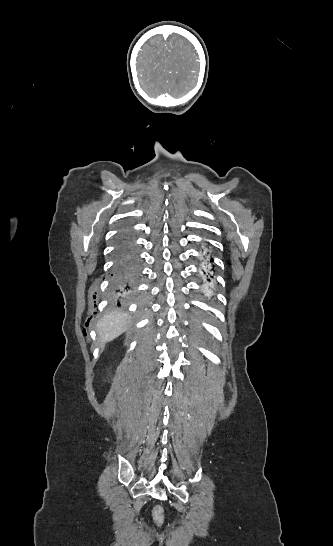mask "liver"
<instances>
[{
  "label": "liver",
  "mask_w": 333,
  "mask_h": 546,
  "mask_svg": "<svg viewBox=\"0 0 333 546\" xmlns=\"http://www.w3.org/2000/svg\"><path fill=\"white\" fill-rule=\"evenodd\" d=\"M130 316L120 310H113L104 315L97 325L100 344L110 342L126 331Z\"/></svg>",
  "instance_id": "obj_1"
}]
</instances>
